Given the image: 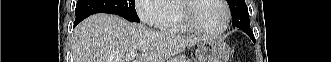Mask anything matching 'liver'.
I'll use <instances>...</instances> for the list:
<instances>
[{
  "instance_id": "obj_1",
  "label": "liver",
  "mask_w": 331,
  "mask_h": 62,
  "mask_svg": "<svg viewBox=\"0 0 331 62\" xmlns=\"http://www.w3.org/2000/svg\"><path fill=\"white\" fill-rule=\"evenodd\" d=\"M72 41L74 62H129L127 54L136 50L141 54L133 62H165L201 39L100 13L82 21Z\"/></svg>"
}]
</instances>
